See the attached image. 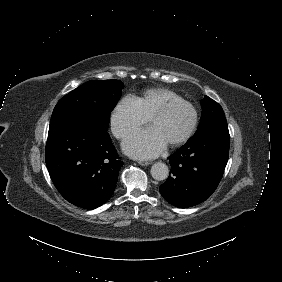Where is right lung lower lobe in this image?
Segmentation results:
<instances>
[{"instance_id": "obj_1", "label": "right lung lower lobe", "mask_w": 282, "mask_h": 282, "mask_svg": "<svg viewBox=\"0 0 282 282\" xmlns=\"http://www.w3.org/2000/svg\"><path fill=\"white\" fill-rule=\"evenodd\" d=\"M45 160L60 194L85 209L109 200L123 166L109 134L81 117L49 127Z\"/></svg>"}]
</instances>
